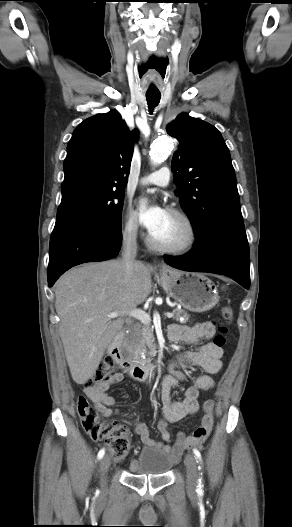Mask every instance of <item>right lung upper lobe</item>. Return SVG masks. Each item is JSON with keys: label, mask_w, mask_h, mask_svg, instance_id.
Here are the masks:
<instances>
[{"label": "right lung upper lobe", "mask_w": 292, "mask_h": 527, "mask_svg": "<svg viewBox=\"0 0 292 527\" xmlns=\"http://www.w3.org/2000/svg\"><path fill=\"white\" fill-rule=\"evenodd\" d=\"M137 136L115 110L84 120L68 143L63 183L83 179L124 188Z\"/></svg>", "instance_id": "cb5924a9"}]
</instances>
